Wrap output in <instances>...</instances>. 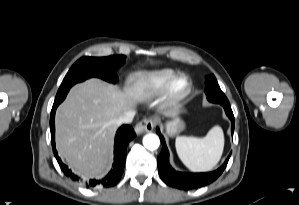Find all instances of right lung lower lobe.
I'll use <instances>...</instances> for the list:
<instances>
[{
    "label": "right lung lower lobe",
    "mask_w": 299,
    "mask_h": 205,
    "mask_svg": "<svg viewBox=\"0 0 299 205\" xmlns=\"http://www.w3.org/2000/svg\"><path fill=\"white\" fill-rule=\"evenodd\" d=\"M61 103V102H60ZM60 103H54L51 111L50 116V130H51V142L53 146V152L55 154V157L63 170V172L69 176L72 180L78 181V177L72 174L71 170L68 169L66 165L62 163L60 158L57 156L55 144H54V132H55V125H54V117H55V111L57 106ZM136 136L134 130L129 125H122L115 136V145H114V163L111 171L102 179L96 180L91 179L89 181H84L83 185L87 188H94V187H111L117 184L119 179L122 176L123 170H124V164L126 159V150L127 145L130 140H132Z\"/></svg>",
    "instance_id": "1"
}]
</instances>
